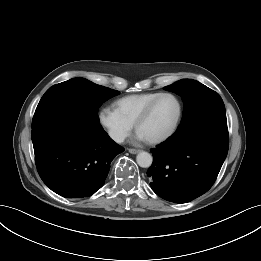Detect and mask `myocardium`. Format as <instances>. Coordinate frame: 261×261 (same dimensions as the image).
<instances>
[{
	"label": "myocardium",
	"instance_id": "myocardium-1",
	"mask_svg": "<svg viewBox=\"0 0 261 261\" xmlns=\"http://www.w3.org/2000/svg\"><path fill=\"white\" fill-rule=\"evenodd\" d=\"M163 97H171L176 101L177 107H178L177 115H176V118H175L173 124L171 125V127L164 134H162L156 138L147 140V142L150 144H159V143H162V142L166 141L167 139H169L176 132V130L179 126V123L181 121L182 112H183L181 101L175 94L170 93V92H163V93H160L159 95H157L155 98H153L145 106V108L141 111V113L138 115V117L136 118V120L134 122L135 130L138 131L139 126L149 117L155 104Z\"/></svg>",
	"mask_w": 261,
	"mask_h": 261
}]
</instances>
